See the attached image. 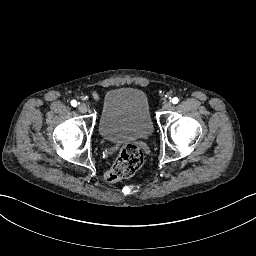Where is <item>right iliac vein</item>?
<instances>
[{"label": "right iliac vein", "instance_id": "right-iliac-vein-1", "mask_svg": "<svg viewBox=\"0 0 256 256\" xmlns=\"http://www.w3.org/2000/svg\"><path fill=\"white\" fill-rule=\"evenodd\" d=\"M78 109L81 113H86L87 112V106L83 103L79 105Z\"/></svg>", "mask_w": 256, "mask_h": 256}]
</instances>
